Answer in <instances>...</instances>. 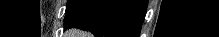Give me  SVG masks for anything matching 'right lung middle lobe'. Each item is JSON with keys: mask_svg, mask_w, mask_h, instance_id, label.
I'll return each instance as SVG.
<instances>
[{"mask_svg": "<svg viewBox=\"0 0 219 37\" xmlns=\"http://www.w3.org/2000/svg\"><path fill=\"white\" fill-rule=\"evenodd\" d=\"M76 0H68L67 7L71 6Z\"/></svg>", "mask_w": 219, "mask_h": 37, "instance_id": "obj_1", "label": "right lung middle lobe"}]
</instances>
